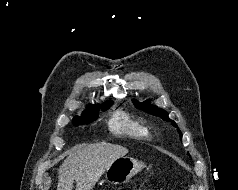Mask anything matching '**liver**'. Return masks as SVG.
Segmentation results:
<instances>
[{"mask_svg":"<svg viewBox=\"0 0 238 190\" xmlns=\"http://www.w3.org/2000/svg\"><path fill=\"white\" fill-rule=\"evenodd\" d=\"M128 149L111 143L100 142L70 151L59 168L57 190H91L106 169L124 157Z\"/></svg>","mask_w":238,"mask_h":190,"instance_id":"6515ba94","label":"liver"}]
</instances>
